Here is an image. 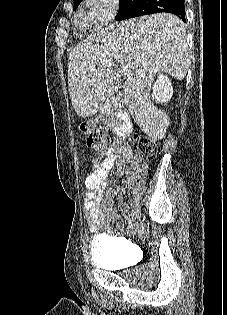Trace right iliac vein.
Returning a JSON list of instances; mask_svg holds the SVG:
<instances>
[{
    "label": "right iliac vein",
    "instance_id": "obj_1",
    "mask_svg": "<svg viewBox=\"0 0 227 315\" xmlns=\"http://www.w3.org/2000/svg\"><path fill=\"white\" fill-rule=\"evenodd\" d=\"M141 214L140 208H136V210L132 213V219H138Z\"/></svg>",
    "mask_w": 227,
    "mask_h": 315
}]
</instances>
